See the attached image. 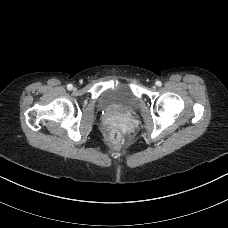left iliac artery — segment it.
Wrapping results in <instances>:
<instances>
[{
    "instance_id": "obj_1",
    "label": "left iliac artery",
    "mask_w": 228,
    "mask_h": 228,
    "mask_svg": "<svg viewBox=\"0 0 228 228\" xmlns=\"http://www.w3.org/2000/svg\"><path fill=\"white\" fill-rule=\"evenodd\" d=\"M156 85L161 86L162 85L161 81H156Z\"/></svg>"
}]
</instances>
